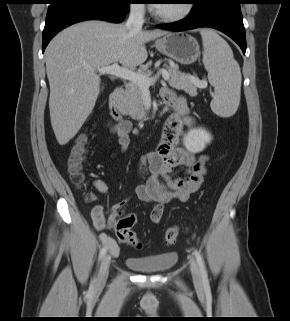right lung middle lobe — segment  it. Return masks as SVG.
Masks as SVG:
<instances>
[{
	"mask_svg": "<svg viewBox=\"0 0 290 321\" xmlns=\"http://www.w3.org/2000/svg\"><path fill=\"white\" fill-rule=\"evenodd\" d=\"M55 1V0H52ZM83 1H92V2H121V1H128L131 2V0H83Z\"/></svg>",
	"mask_w": 290,
	"mask_h": 321,
	"instance_id": "right-lung-middle-lobe-1",
	"label": "right lung middle lobe"
}]
</instances>
